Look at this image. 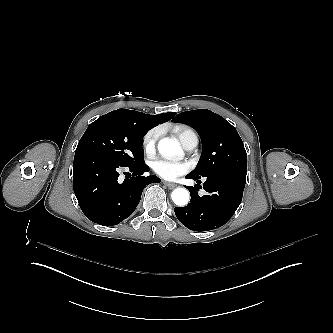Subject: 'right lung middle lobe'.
<instances>
[{
  "mask_svg": "<svg viewBox=\"0 0 333 333\" xmlns=\"http://www.w3.org/2000/svg\"><path fill=\"white\" fill-rule=\"evenodd\" d=\"M141 121L108 113L91 123L76 149L98 151L123 166L144 163L143 137L150 130Z\"/></svg>",
  "mask_w": 333,
  "mask_h": 333,
  "instance_id": "obj_1",
  "label": "right lung middle lobe"
}]
</instances>
